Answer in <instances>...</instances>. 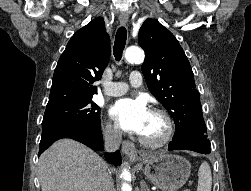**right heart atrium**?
<instances>
[{"label": "right heart atrium", "instance_id": "right-heart-atrium-1", "mask_svg": "<svg viewBox=\"0 0 251 191\" xmlns=\"http://www.w3.org/2000/svg\"><path fill=\"white\" fill-rule=\"evenodd\" d=\"M104 139L108 143H117L120 140V133L111 124L106 123L102 129Z\"/></svg>", "mask_w": 251, "mask_h": 191}]
</instances>
